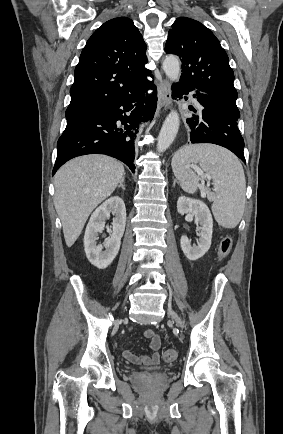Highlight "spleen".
<instances>
[{
    "label": "spleen",
    "instance_id": "1",
    "mask_svg": "<svg viewBox=\"0 0 283 434\" xmlns=\"http://www.w3.org/2000/svg\"><path fill=\"white\" fill-rule=\"evenodd\" d=\"M199 163L213 180L212 212L224 228L236 227L244 213L246 180L239 159L230 151L211 144L187 145L177 151L172 159V169L182 189L194 193L198 178L190 165Z\"/></svg>",
    "mask_w": 283,
    "mask_h": 434
}]
</instances>
